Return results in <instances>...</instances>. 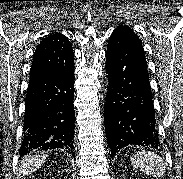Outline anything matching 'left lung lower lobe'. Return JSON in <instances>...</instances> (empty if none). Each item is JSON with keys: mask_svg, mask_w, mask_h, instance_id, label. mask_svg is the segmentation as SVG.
<instances>
[{"mask_svg": "<svg viewBox=\"0 0 183 179\" xmlns=\"http://www.w3.org/2000/svg\"><path fill=\"white\" fill-rule=\"evenodd\" d=\"M108 93L105 132L111 157L128 145L158 149L159 134L142 43L134 32L115 30L106 51Z\"/></svg>", "mask_w": 183, "mask_h": 179, "instance_id": "0a47b994", "label": "left lung lower lobe"}]
</instances>
